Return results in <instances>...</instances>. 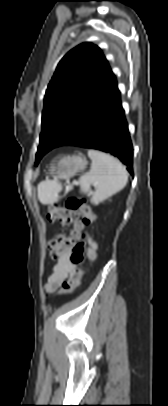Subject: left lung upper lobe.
I'll list each match as a JSON object with an SVG mask.
<instances>
[{"instance_id": "left-lung-upper-lobe-1", "label": "left lung upper lobe", "mask_w": 168, "mask_h": 406, "mask_svg": "<svg viewBox=\"0 0 168 406\" xmlns=\"http://www.w3.org/2000/svg\"><path fill=\"white\" fill-rule=\"evenodd\" d=\"M114 80L100 48L91 43L78 45L62 58L46 90L35 165L81 129Z\"/></svg>"}]
</instances>
